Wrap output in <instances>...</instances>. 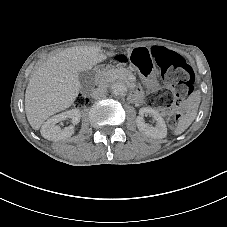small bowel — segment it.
<instances>
[{"mask_svg":"<svg viewBox=\"0 0 227 227\" xmlns=\"http://www.w3.org/2000/svg\"><path fill=\"white\" fill-rule=\"evenodd\" d=\"M136 51H140L142 52L143 54L147 55L151 60H152V57H151V54H152V48L149 49V48H137L135 49ZM134 51V50H133Z\"/></svg>","mask_w":227,"mask_h":227,"instance_id":"1","label":"small bowel"}]
</instances>
